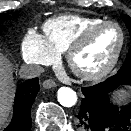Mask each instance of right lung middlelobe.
I'll return each mask as SVG.
<instances>
[{
  "instance_id": "obj_1",
  "label": "right lung middle lobe",
  "mask_w": 131,
  "mask_h": 131,
  "mask_svg": "<svg viewBox=\"0 0 131 131\" xmlns=\"http://www.w3.org/2000/svg\"><path fill=\"white\" fill-rule=\"evenodd\" d=\"M7 19H8V15L7 14H0V24L2 22H4L5 20H7Z\"/></svg>"
}]
</instances>
